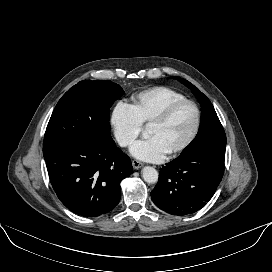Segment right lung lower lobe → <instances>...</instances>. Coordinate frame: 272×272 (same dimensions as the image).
I'll return each instance as SVG.
<instances>
[{"label": "right lung lower lobe", "mask_w": 272, "mask_h": 272, "mask_svg": "<svg viewBox=\"0 0 272 272\" xmlns=\"http://www.w3.org/2000/svg\"><path fill=\"white\" fill-rule=\"evenodd\" d=\"M43 153L58 198L84 217L111 211L120 201L121 180L133 172L130 158L113 140L72 138Z\"/></svg>", "instance_id": "1"}]
</instances>
